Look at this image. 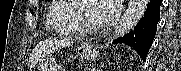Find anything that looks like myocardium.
I'll return each mask as SVG.
<instances>
[{
    "mask_svg": "<svg viewBox=\"0 0 181 71\" xmlns=\"http://www.w3.org/2000/svg\"><path fill=\"white\" fill-rule=\"evenodd\" d=\"M89 1H91V0H89ZM82 2H86V1H77L74 4L76 21L83 32L96 33L97 31H99L101 29V27L95 23H91L86 18L85 7H84V4H82Z\"/></svg>",
    "mask_w": 181,
    "mask_h": 71,
    "instance_id": "1",
    "label": "myocardium"
}]
</instances>
